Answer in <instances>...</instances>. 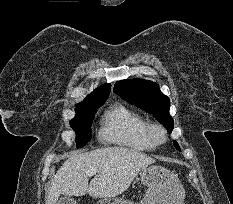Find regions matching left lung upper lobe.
Wrapping results in <instances>:
<instances>
[{
	"mask_svg": "<svg viewBox=\"0 0 233 204\" xmlns=\"http://www.w3.org/2000/svg\"><path fill=\"white\" fill-rule=\"evenodd\" d=\"M114 92L129 103L152 113L169 133L172 132L174 124L169 114L170 100L156 83L143 79L122 80L115 84ZM173 144L180 151L178 143L174 141Z\"/></svg>",
	"mask_w": 233,
	"mask_h": 204,
	"instance_id": "5c2ea615",
	"label": "left lung upper lobe"
}]
</instances>
